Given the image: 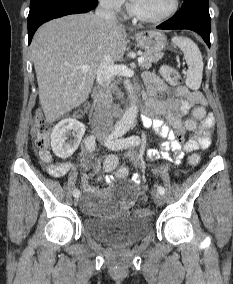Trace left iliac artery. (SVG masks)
<instances>
[{
    "label": "left iliac artery",
    "instance_id": "1",
    "mask_svg": "<svg viewBox=\"0 0 233 284\" xmlns=\"http://www.w3.org/2000/svg\"><path fill=\"white\" fill-rule=\"evenodd\" d=\"M124 134V130L116 129L108 136L106 146L112 150H120L140 144V139L137 136L122 138ZM157 191L162 195L165 194V189L163 186H158Z\"/></svg>",
    "mask_w": 233,
    "mask_h": 284
}]
</instances>
